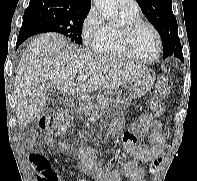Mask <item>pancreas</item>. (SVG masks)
Listing matches in <instances>:
<instances>
[{
  "label": "pancreas",
  "instance_id": "1",
  "mask_svg": "<svg viewBox=\"0 0 197 181\" xmlns=\"http://www.w3.org/2000/svg\"><path fill=\"white\" fill-rule=\"evenodd\" d=\"M109 105H104L98 109H87L85 114H87L88 121H96L99 119L106 111H109Z\"/></svg>",
  "mask_w": 197,
  "mask_h": 181
}]
</instances>
